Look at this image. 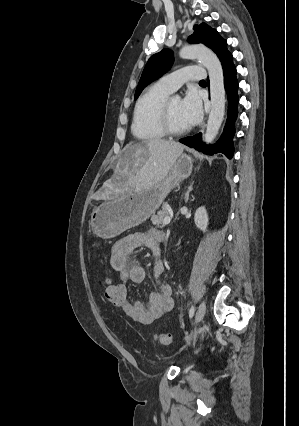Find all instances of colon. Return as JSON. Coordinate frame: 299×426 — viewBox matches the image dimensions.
<instances>
[{"instance_id": "colon-1", "label": "colon", "mask_w": 299, "mask_h": 426, "mask_svg": "<svg viewBox=\"0 0 299 426\" xmlns=\"http://www.w3.org/2000/svg\"><path fill=\"white\" fill-rule=\"evenodd\" d=\"M104 297L115 308H122L126 302L127 289L121 282L115 283L108 278L105 280ZM155 340L164 346L172 343L171 335L166 333L156 334Z\"/></svg>"}]
</instances>
